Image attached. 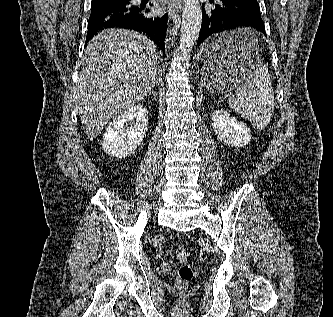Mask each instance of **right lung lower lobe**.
<instances>
[{
  "label": "right lung lower lobe",
  "mask_w": 333,
  "mask_h": 317,
  "mask_svg": "<svg viewBox=\"0 0 333 317\" xmlns=\"http://www.w3.org/2000/svg\"><path fill=\"white\" fill-rule=\"evenodd\" d=\"M142 10V8L130 6L129 1L124 5H103L91 8L86 44L102 29L123 28L146 34L164 53L168 14L148 18L144 16ZM145 11L149 12L148 9Z\"/></svg>",
  "instance_id": "1"
}]
</instances>
